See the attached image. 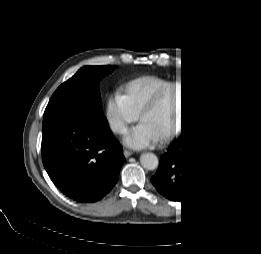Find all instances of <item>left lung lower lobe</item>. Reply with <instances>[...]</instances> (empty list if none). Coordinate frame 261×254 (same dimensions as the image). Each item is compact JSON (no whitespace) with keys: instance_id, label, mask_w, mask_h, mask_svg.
I'll return each instance as SVG.
<instances>
[{"instance_id":"0a47b994","label":"left lung lower lobe","mask_w":261,"mask_h":254,"mask_svg":"<svg viewBox=\"0 0 261 254\" xmlns=\"http://www.w3.org/2000/svg\"><path fill=\"white\" fill-rule=\"evenodd\" d=\"M194 149V141L184 136L178 138L161 157L159 168L151 180L156 189L170 200L183 203L196 196L188 190L191 182L198 180L190 167Z\"/></svg>"}]
</instances>
